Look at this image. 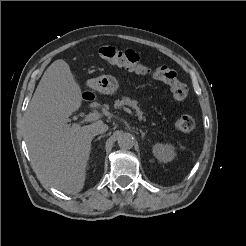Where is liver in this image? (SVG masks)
<instances>
[{
	"label": "liver",
	"mask_w": 246,
	"mask_h": 246,
	"mask_svg": "<svg viewBox=\"0 0 246 246\" xmlns=\"http://www.w3.org/2000/svg\"><path fill=\"white\" fill-rule=\"evenodd\" d=\"M82 103V91L69 65L54 61L43 74L29 103L25 141L36 174L68 194L80 192L91 152V125L68 123Z\"/></svg>",
	"instance_id": "obj_1"
}]
</instances>
